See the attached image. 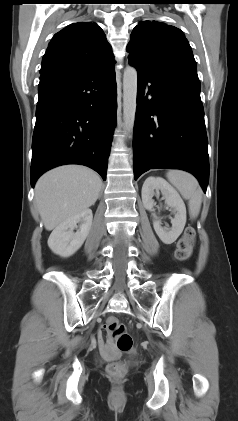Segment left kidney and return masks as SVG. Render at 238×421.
Returning a JSON list of instances; mask_svg holds the SVG:
<instances>
[{
    "instance_id": "5707ae66",
    "label": "left kidney",
    "mask_w": 238,
    "mask_h": 421,
    "mask_svg": "<svg viewBox=\"0 0 238 421\" xmlns=\"http://www.w3.org/2000/svg\"><path fill=\"white\" fill-rule=\"evenodd\" d=\"M159 191H161L165 203L172 208L175 216L171 219L172 227L163 228L161 222L153 215V227L160 240L169 245L177 240L185 227L186 207L177 191L164 179L149 177L142 186V202L147 210L153 211V206L155 205L153 196L158 194Z\"/></svg>"
}]
</instances>
